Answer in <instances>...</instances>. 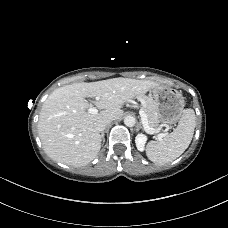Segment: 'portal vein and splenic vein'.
<instances>
[{
	"instance_id": "1",
	"label": "portal vein and splenic vein",
	"mask_w": 228,
	"mask_h": 228,
	"mask_svg": "<svg viewBox=\"0 0 228 228\" xmlns=\"http://www.w3.org/2000/svg\"><path fill=\"white\" fill-rule=\"evenodd\" d=\"M88 112H89L90 114H96V113L98 112V110H97L96 108H94V107H90V108L88 109ZM139 114H140L141 122H142V124H143V127H144L145 131H146L147 133H150V134L154 133V129H152V128L148 125L147 115L145 114V112H144V110H143L142 108L139 110ZM163 136H164V134H159V135H158V138H162Z\"/></svg>"
}]
</instances>
